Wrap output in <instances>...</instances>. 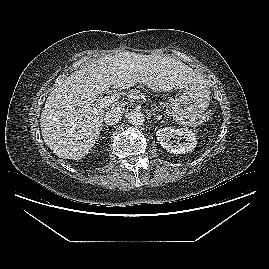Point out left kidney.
<instances>
[{
    "instance_id": "obj_1",
    "label": "left kidney",
    "mask_w": 269,
    "mask_h": 269,
    "mask_svg": "<svg viewBox=\"0 0 269 269\" xmlns=\"http://www.w3.org/2000/svg\"><path fill=\"white\" fill-rule=\"evenodd\" d=\"M156 137L161 146L169 153L174 154H185L191 152L196 147V136L195 133L187 128H160L156 132ZM183 138V142L173 144L172 138Z\"/></svg>"
}]
</instances>
